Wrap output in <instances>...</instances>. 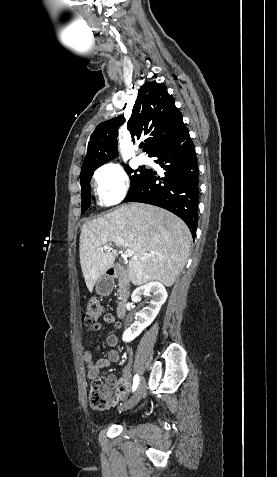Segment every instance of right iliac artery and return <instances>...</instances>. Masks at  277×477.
<instances>
[{"instance_id":"right-iliac-artery-1","label":"right iliac artery","mask_w":277,"mask_h":477,"mask_svg":"<svg viewBox=\"0 0 277 477\" xmlns=\"http://www.w3.org/2000/svg\"><path fill=\"white\" fill-rule=\"evenodd\" d=\"M138 384H139V376L135 375L133 380V391L136 390V388L138 387Z\"/></svg>"}]
</instances>
